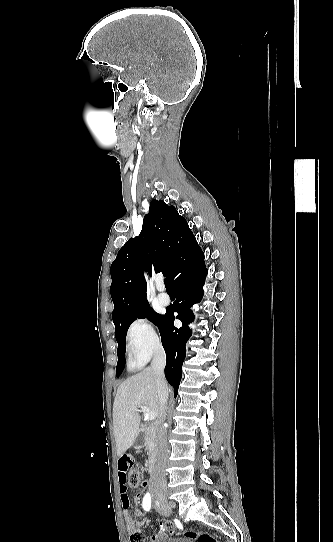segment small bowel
<instances>
[{
	"mask_svg": "<svg viewBox=\"0 0 333 542\" xmlns=\"http://www.w3.org/2000/svg\"><path fill=\"white\" fill-rule=\"evenodd\" d=\"M129 457L123 456L120 458L118 462V489H119V495H120V503L121 507L123 509V517L126 522L127 531L129 533H133L140 529L141 523L138 522L134 517L140 518L144 515V510L142 508L136 507L134 509H131L130 506V500L128 496V490L126 486V477H127V469L129 466ZM141 484V489H146L147 485H149V480L145 479ZM134 502L137 506L141 505L142 495L140 493H137L134 496ZM171 533H174V530H171ZM158 536H153V542H159Z\"/></svg>",
	"mask_w": 333,
	"mask_h": 542,
	"instance_id": "small-bowel-1",
	"label": "small bowel"
}]
</instances>
